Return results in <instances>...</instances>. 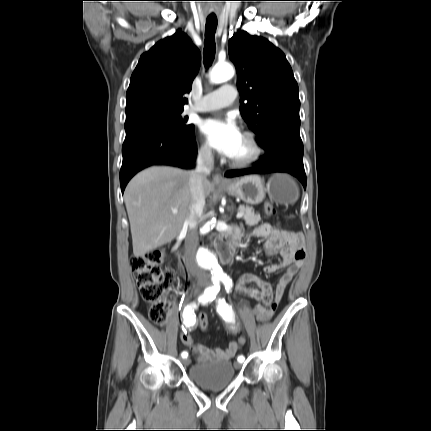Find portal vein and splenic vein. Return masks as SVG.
I'll return each instance as SVG.
<instances>
[{
  "label": "portal vein and splenic vein",
  "instance_id": "obj_1",
  "mask_svg": "<svg viewBox=\"0 0 431 431\" xmlns=\"http://www.w3.org/2000/svg\"><path fill=\"white\" fill-rule=\"evenodd\" d=\"M172 212L176 214L178 211L176 209H173ZM244 215L242 211H239L236 215L237 218H241Z\"/></svg>",
  "mask_w": 431,
  "mask_h": 431
}]
</instances>
